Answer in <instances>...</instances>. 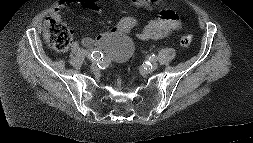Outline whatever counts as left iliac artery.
I'll return each mask as SVG.
<instances>
[{"label": "left iliac artery", "instance_id": "1", "mask_svg": "<svg viewBox=\"0 0 253 143\" xmlns=\"http://www.w3.org/2000/svg\"><path fill=\"white\" fill-rule=\"evenodd\" d=\"M150 60L151 61H156L157 60V56H155L154 54L150 56Z\"/></svg>", "mask_w": 253, "mask_h": 143}]
</instances>
